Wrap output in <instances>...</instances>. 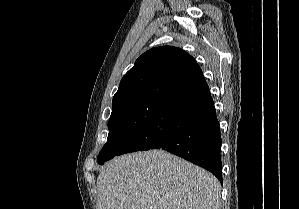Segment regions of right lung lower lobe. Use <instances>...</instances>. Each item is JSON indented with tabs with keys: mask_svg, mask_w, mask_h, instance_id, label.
<instances>
[{
	"mask_svg": "<svg viewBox=\"0 0 299 209\" xmlns=\"http://www.w3.org/2000/svg\"><path fill=\"white\" fill-rule=\"evenodd\" d=\"M163 149L205 168L222 181L221 133L204 76L184 84L160 104L118 155Z\"/></svg>",
	"mask_w": 299,
	"mask_h": 209,
	"instance_id": "1",
	"label": "right lung lower lobe"
}]
</instances>
